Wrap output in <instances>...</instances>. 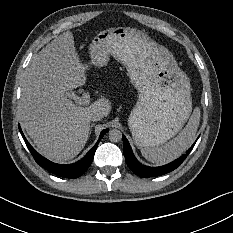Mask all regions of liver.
<instances>
[{
	"label": "liver",
	"mask_w": 233,
	"mask_h": 233,
	"mask_svg": "<svg viewBox=\"0 0 233 233\" xmlns=\"http://www.w3.org/2000/svg\"><path fill=\"white\" fill-rule=\"evenodd\" d=\"M85 82L71 32L60 34L31 58L23 75L18 116L41 156L59 162L72 160L89 138V114L100 110L108 115L104 99L86 107L69 101L68 91Z\"/></svg>",
	"instance_id": "obj_1"
}]
</instances>
